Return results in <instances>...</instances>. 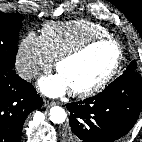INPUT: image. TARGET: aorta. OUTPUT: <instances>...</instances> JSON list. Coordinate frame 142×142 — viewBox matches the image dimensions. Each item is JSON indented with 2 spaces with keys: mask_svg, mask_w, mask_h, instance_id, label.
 Masks as SVG:
<instances>
[{
  "mask_svg": "<svg viewBox=\"0 0 142 142\" xmlns=\"http://www.w3.org/2000/svg\"><path fill=\"white\" fill-rule=\"evenodd\" d=\"M50 119L53 123L61 124L66 120V112L60 106H54L50 109Z\"/></svg>",
  "mask_w": 142,
  "mask_h": 142,
  "instance_id": "762f6f07",
  "label": "aorta"
}]
</instances>
